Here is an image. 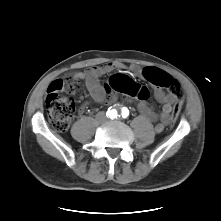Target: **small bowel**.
<instances>
[{
    "label": "small bowel",
    "mask_w": 221,
    "mask_h": 221,
    "mask_svg": "<svg viewBox=\"0 0 221 221\" xmlns=\"http://www.w3.org/2000/svg\"><path fill=\"white\" fill-rule=\"evenodd\" d=\"M125 68L124 64L120 62H110L102 66L94 67L87 71H79L72 74V79L75 81H84L89 91L92 99L95 102H103L105 101L107 94L109 92H120L124 95L125 99L132 100L136 97H131L125 92V88L131 84L135 83L128 75L125 74H115L113 75L109 83L104 86L101 84V77L109 74L115 70H121ZM134 72L139 74L142 78L148 80L144 75V70L137 67L131 68ZM158 69V68H155ZM163 71L161 69H158ZM165 72V71H163ZM167 73V72H166ZM154 95L158 102L162 104V110L159 115H157L152 106L146 101L137 98V108L140 113L150 121L159 120L160 123L155 127L157 132H161L164 127L168 124L174 122L177 117L172 115L173 107L176 104H179L180 109L183 105V99L181 97H176L171 93H165L162 87L155 85ZM86 107L84 104L81 107V111H83Z\"/></svg>",
    "instance_id": "obj_1"
}]
</instances>
